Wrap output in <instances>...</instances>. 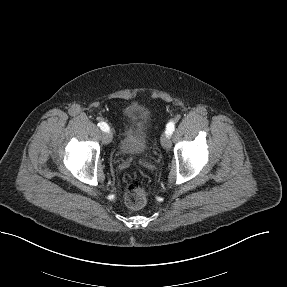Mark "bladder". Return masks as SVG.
Masks as SVG:
<instances>
[{"label": "bladder", "instance_id": "1", "mask_svg": "<svg viewBox=\"0 0 287 287\" xmlns=\"http://www.w3.org/2000/svg\"><path fill=\"white\" fill-rule=\"evenodd\" d=\"M124 116L126 124L119 151L127 155L144 153L150 142L147 113L135 107H128L124 110Z\"/></svg>", "mask_w": 287, "mask_h": 287}]
</instances>
